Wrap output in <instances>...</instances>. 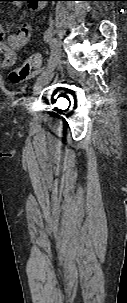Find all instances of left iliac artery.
<instances>
[{
  "label": "left iliac artery",
  "instance_id": "1",
  "mask_svg": "<svg viewBox=\"0 0 127 303\" xmlns=\"http://www.w3.org/2000/svg\"><path fill=\"white\" fill-rule=\"evenodd\" d=\"M52 36H53L52 28H48L46 30L45 34H44L45 41L48 42L49 44H51ZM54 62H55V51H54L53 48H51V54H50V57H49V60H48L47 68L54 65Z\"/></svg>",
  "mask_w": 127,
  "mask_h": 303
}]
</instances>
